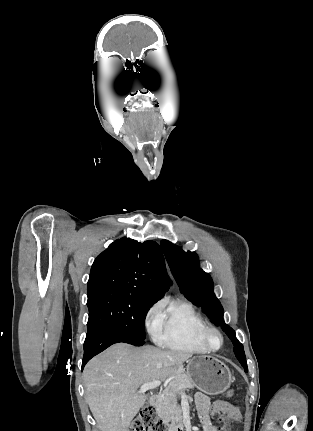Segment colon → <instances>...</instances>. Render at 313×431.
I'll return each mask as SVG.
<instances>
[{
	"label": "colon",
	"mask_w": 313,
	"mask_h": 431,
	"mask_svg": "<svg viewBox=\"0 0 313 431\" xmlns=\"http://www.w3.org/2000/svg\"><path fill=\"white\" fill-rule=\"evenodd\" d=\"M234 390L228 389L225 396L233 397ZM129 431H166L163 421L158 417L153 406L144 407L133 419ZM219 431H230L228 427H222Z\"/></svg>",
	"instance_id": "1"
}]
</instances>
